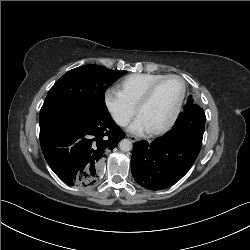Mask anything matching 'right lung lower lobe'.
Instances as JSON below:
<instances>
[{
    "instance_id": "obj_1",
    "label": "right lung lower lobe",
    "mask_w": 250,
    "mask_h": 250,
    "mask_svg": "<svg viewBox=\"0 0 250 250\" xmlns=\"http://www.w3.org/2000/svg\"><path fill=\"white\" fill-rule=\"evenodd\" d=\"M124 136L108 111L67 110L40 120L44 157L69 185L94 184L107 153Z\"/></svg>"
}]
</instances>
